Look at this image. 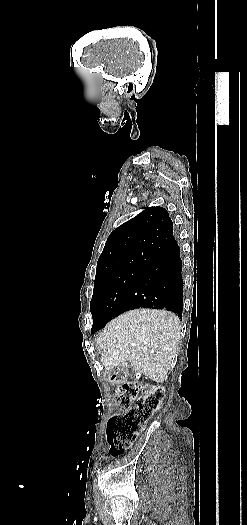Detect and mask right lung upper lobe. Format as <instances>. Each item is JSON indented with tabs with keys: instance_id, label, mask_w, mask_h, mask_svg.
<instances>
[{
	"instance_id": "cb5924a9",
	"label": "right lung upper lobe",
	"mask_w": 247,
	"mask_h": 525,
	"mask_svg": "<svg viewBox=\"0 0 247 525\" xmlns=\"http://www.w3.org/2000/svg\"><path fill=\"white\" fill-rule=\"evenodd\" d=\"M174 238L167 210L160 206L146 208L109 235L96 272L128 268L152 256Z\"/></svg>"
}]
</instances>
